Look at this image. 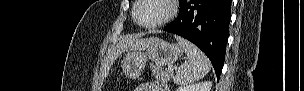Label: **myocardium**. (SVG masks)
<instances>
[{
  "label": "myocardium",
  "instance_id": "obj_1",
  "mask_svg": "<svg viewBox=\"0 0 304 91\" xmlns=\"http://www.w3.org/2000/svg\"><path fill=\"white\" fill-rule=\"evenodd\" d=\"M143 1L144 0L136 1V5H135L134 11H133V19H134L135 23L142 28L154 29V28L164 26V25L168 24L169 22H171L178 15V12H179L178 1L177 0H163L168 6V13L166 14V16L155 23L142 24L138 19V10L141 7Z\"/></svg>",
  "mask_w": 304,
  "mask_h": 91
}]
</instances>
